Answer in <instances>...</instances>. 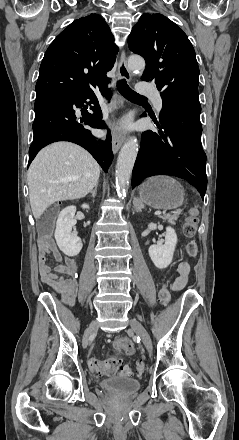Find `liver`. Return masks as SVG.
<instances>
[{"mask_svg": "<svg viewBox=\"0 0 239 440\" xmlns=\"http://www.w3.org/2000/svg\"><path fill=\"white\" fill-rule=\"evenodd\" d=\"M69 176H78V180L67 182ZM99 176V164L80 146L55 142L43 148L27 172L30 206L35 220L55 202L87 196L97 186Z\"/></svg>", "mask_w": 239, "mask_h": 440, "instance_id": "obj_1", "label": "liver"}]
</instances>
